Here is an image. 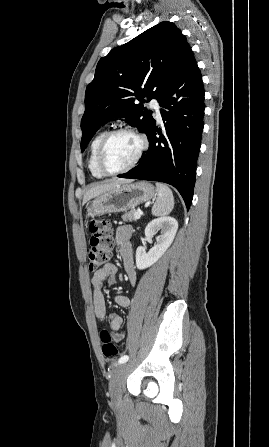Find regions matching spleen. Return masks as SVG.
Wrapping results in <instances>:
<instances>
[{
    "label": "spleen",
    "instance_id": "spleen-1",
    "mask_svg": "<svg viewBox=\"0 0 269 447\" xmlns=\"http://www.w3.org/2000/svg\"><path fill=\"white\" fill-rule=\"evenodd\" d=\"M158 198L152 208L153 216H168L174 208V196L164 184H156Z\"/></svg>",
    "mask_w": 269,
    "mask_h": 447
}]
</instances>
